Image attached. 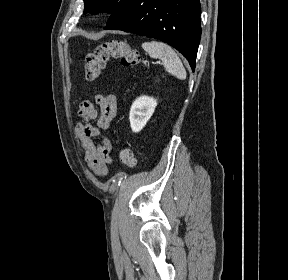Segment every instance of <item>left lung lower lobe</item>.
Instances as JSON below:
<instances>
[{
  "instance_id": "1",
  "label": "left lung lower lobe",
  "mask_w": 288,
  "mask_h": 280,
  "mask_svg": "<svg viewBox=\"0 0 288 280\" xmlns=\"http://www.w3.org/2000/svg\"><path fill=\"white\" fill-rule=\"evenodd\" d=\"M199 0H134L105 30L159 39L176 48L194 71L201 37Z\"/></svg>"
}]
</instances>
